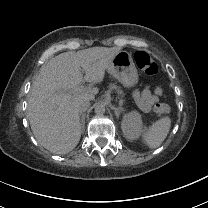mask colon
<instances>
[{"label":"colon","instance_id":"obj_1","mask_svg":"<svg viewBox=\"0 0 208 208\" xmlns=\"http://www.w3.org/2000/svg\"><path fill=\"white\" fill-rule=\"evenodd\" d=\"M136 65L143 71L148 77H154L157 74V66L151 59L150 55L144 51H137L135 54ZM153 110L158 113L169 114L170 109L167 105L157 104L153 107Z\"/></svg>","mask_w":208,"mask_h":208}]
</instances>
